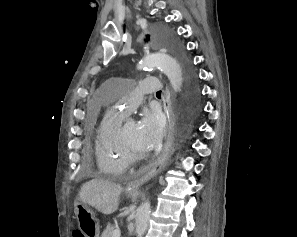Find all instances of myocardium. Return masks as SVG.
<instances>
[{
	"label": "myocardium",
	"mask_w": 297,
	"mask_h": 237,
	"mask_svg": "<svg viewBox=\"0 0 297 237\" xmlns=\"http://www.w3.org/2000/svg\"><path fill=\"white\" fill-rule=\"evenodd\" d=\"M117 138L122 150L124 151L126 157L131 163L142 161L149 157V153L136 151L128 144L127 140L123 135L122 125L118 129Z\"/></svg>",
	"instance_id": "myocardium-1"
}]
</instances>
